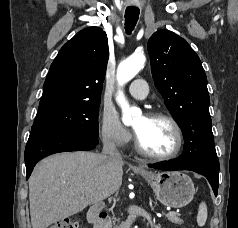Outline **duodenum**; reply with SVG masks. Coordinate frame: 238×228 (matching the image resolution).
Wrapping results in <instances>:
<instances>
[{
  "instance_id": "obj_1",
  "label": "duodenum",
  "mask_w": 238,
  "mask_h": 228,
  "mask_svg": "<svg viewBox=\"0 0 238 228\" xmlns=\"http://www.w3.org/2000/svg\"><path fill=\"white\" fill-rule=\"evenodd\" d=\"M106 214L103 212V204L96 202L92 204L87 212L88 221L93 224V228H106L104 219ZM138 216L136 214H131L126 221L120 225L118 228H131L132 224L136 221Z\"/></svg>"
}]
</instances>
